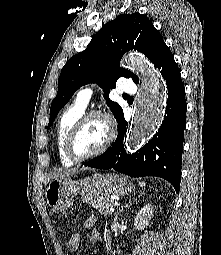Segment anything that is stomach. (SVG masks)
<instances>
[{"label": "stomach", "mask_w": 221, "mask_h": 255, "mask_svg": "<svg viewBox=\"0 0 221 255\" xmlns=\"http://www.w3.org/2000/svg\"><path fill=\"white\" fill-rule=\"evenodd\" d=\"M134 191V185L118 174H103L72 180L70 177L53 179L46 188L45 198L54 211H62L73 205L80 194L84 202L98 195H127Z\"/></svg>", "instance_id": "obj_1"}]
</instances>
